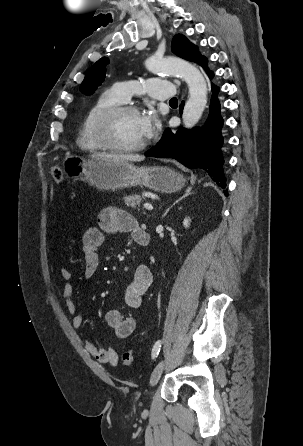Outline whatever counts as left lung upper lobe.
Masks as SVG:
<instances>
[{"instance_id":"obj_1","label":"left lung upper lobe","mask_w":303,"mask_h":446,"mask_svg":"<svg viewBox=\"0 0 303 446\" xmlns=\"http://www.w3.org/2000/svg\"><path fill=\"white\" fill-rule=\"evenodd\" d=\"M172 51L179 57L202 64L206 58L198 52L197 46L188 41V39L177 34L172 40ZM108 63L107 58L98 60L86 73V76L80 86V91L84 94L93 93L105 78V65Z\"/></svg>"}]
</instances>
